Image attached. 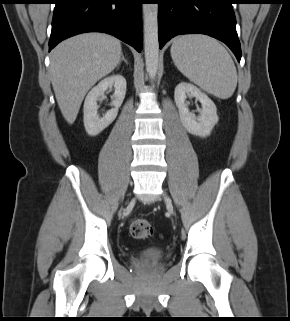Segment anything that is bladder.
<instances>
[{
  "instance_id": "obj_1",
  "label": "bladder",
  "mask_w": 290,
  "mask_h": 321,
  "mask_svg": "<svg viewBox=\"0 0 290 321\" xmlns=\"http://www.w3.org/2000/svg\"><path fill=\"white\" fill-rule=\"evenodd\" d=\"M165 257L166 251L154 246L143 249L138 255L139 259L153 263L161 262Z\"/></svg>"
}]
</instances>
